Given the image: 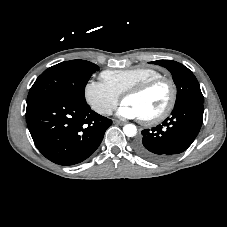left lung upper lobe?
I'll return each instance as SVG.
<instances>
[{"label": "left lung upper lobe", "mask_w": 227, "mask_h": 227, "mask_svg": "<svg viewBox=\"0 0 227 227\" xmlns=\"http://www.w3.org/2000/svg\"><path fill=\"white\" fill-rule=\"evenodd\" d=\"M150 63L167 68L173 75V80L177 87L175 106L189 100H199L204 102L196 77L183 64L172 60H157Z\"/></svg>", "instance_id": "obj_1"}]
</instances>
